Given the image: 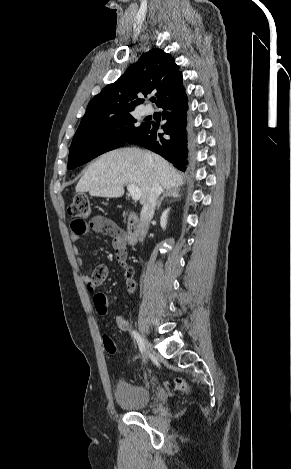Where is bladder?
Segmentation results:
<instances>
[{
  "instance_id": "31cf9c89",
  "label": "bladder",
  "mask_w": 291,
  "mask_h": 469,
  "mask_svg": "<svg viewBox=\"0 0 291 469\" xmlns=\"http://www.w3.org/2000/svg\"><path fill=\"white\" fill-rule=\"evenodd\" d=\"M115 400L122 409L139 411L149 405L151 393L145 386L119 382L115 390Z\"/></svg>"
}]
</instances>
